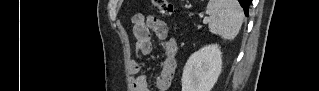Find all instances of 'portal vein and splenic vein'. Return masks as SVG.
Returning a JSON list of instances; mask_svg holds the SVG:
<instances>
[{"mask_svg": "<svg viewBox=\"0 0 319 91\" xmlns=\"http://www.w3.org/2000/svg\"><path fill=\"white\" fill-rule=\"evenodd\" d=\"M207 22H209V19H208V18H205V19H204V23H207Z\"/></svg>", "mask_w": 319, "mask_h": 91, "instance_id": "18ae733b", "label": "portal vein and splenic vein"}]
</instances>
